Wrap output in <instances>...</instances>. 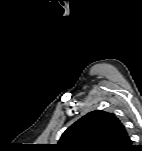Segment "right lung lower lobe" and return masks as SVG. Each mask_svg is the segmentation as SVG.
I'll list each match as a JSON object with an SVG mask.
<instances>
[{
	"mask_svg": "<svg viewBox=\"0 0 142 151\" xmlns=\"http://www.w3.org/2000/svg\"><path fill=\"white\" fill-rule=\"evenodd\" d=\"M131 149H132V147H131L128 151H131ZM135 149H136V148H135ZM135 149H134V150H135ZM138 150H141V149H138Z\"/></svg>",
	"mask_w": 142,
	"mask_h": 151,
	"instance_id": "right-lung-lower-lobe-1",
	"label": "right lung lower lobe"
}]
</instances>
